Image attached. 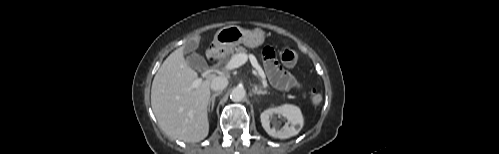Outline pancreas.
<instances>
[{"label": "pancreas", "instance_id": "obj_1", "mask_svg": "<svg viewBox=\"0 0 499 154\" xmlns=\"http://www.w3.org/2000/svg\"><path fill=\"white\" fill-rule=\"evenodd\" d=\"M235 52L236 54H240V53H246V49L242 46H239L238 48H235ZM234 51H226L223 55H224V60L225 61H229L230 58H232L234 55Z\"/></svg>", "mask_w": 499, "mask_h": 154}]
</instances>
